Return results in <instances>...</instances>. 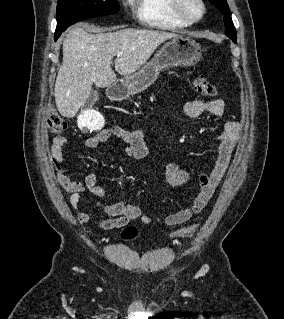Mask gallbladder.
<instances>
[{"label":"gallbladder","instance_id":"1","mask_svg":"<svg viewBox=\"0 0 284 319\" xmlns=\"http://www.w3.org/2000/svg\"><path fill=\"white\" fill-rule=\"evenodd\" d=\"M99 99V95L97 90L91 92V94L89 95L88 99L85 102V107L89 108L92 105H94L96 103V101H98Z\"/></svg>","mask_w":284,"mask_h":319}]
</instances>
